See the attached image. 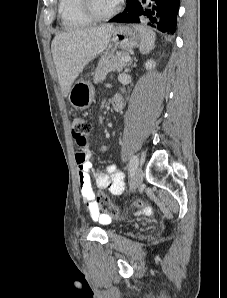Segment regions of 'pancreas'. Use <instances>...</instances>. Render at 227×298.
I'll return each mask as SVG.
<instances>
[{
  "label": "pancreas",
  "instance_id": "pancreas-1",
  "mask_svg": "<svg viewBox=\"0 0 227 298\" xmlns=\"http://www.w3.org/2000/svg\"><path fill=\"white\" fill-rule=\"evenodd\" d=\"M128 54L125 52H119L115 55L103 56L96 68L94 74V83L101 82L105 79L106 75L111 71L121 72L126 67V62H121V59Z\"/></svg>",
  "mask_w": 227,
  "mask_h": 298
}]
</instances>
